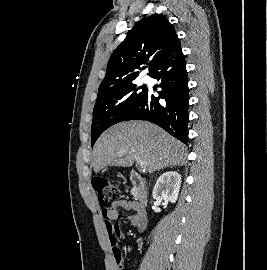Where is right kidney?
<instances>
[{
    "instance_id": "obj_1",
    "label": "right kidney",
    "mask_w": 267,
    "mask_h": 270,
    "mask_svg": "<svg viewBox=\"0 0 267 270\" xmlns=\"http://www.w3.org/2000/svg\"><path fill=\"white\" fill-rule=\"evenodd\" d=\"M181 186V175L176 171L163 173L153 189V198L157 201L175 203Z\"/></svg>"
}]
</instances>
